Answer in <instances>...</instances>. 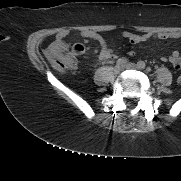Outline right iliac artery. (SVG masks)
Here are the masks:
<instances>
[{"label": "right iliac artery", "instance_id": "82829eb1", "mask_svg": "<svg viewBox=\"0 0 181 181\" xmlns=\"http://www.w3.org/2000/svg\"><path fill=\"white\" fill-rule=\"evenodd\" d=\"M128 62V59L125 57H122L120 59L117 60V65H125Z\"/></svg>", "mask_w": 181, "mask_h": 181}]
</instances>
